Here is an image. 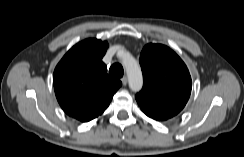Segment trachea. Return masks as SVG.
<instances>
[{
  "mask_svg": "<svg viewBox=\"0 0 244 157\" xmlns=\"http://www.w3.org/2000/svg\"><path fill=\"white\" fill-rule=\"evenodd\" d=\"M109 74L116 78H121L124 74L123 67L118 63L113 64L109 69Z\"/></svg>",
  "mask_w": 244,
  "mask_h": 157,
  "instance_id": "3493384b",
  "label": "trachea"
}]
</instances>
